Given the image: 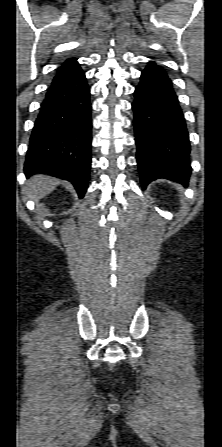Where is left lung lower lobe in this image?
<instances>
[{"label": "left lung lower lobe", "instance_id": "1", "mask_svg": "<svg viewBox=\"0 0 222 447\" xmlns=\"http://www.w3.org/2000/svg\"><path fill=\"white\" fill-rule=\"evenodd\" d=\"M134 97L137 164L143 188L158 178L188 185V132L170 78L161 67L149 62Z\"/></svg>", "mask_w": 222, "mask_h": 447}]
</instances>
